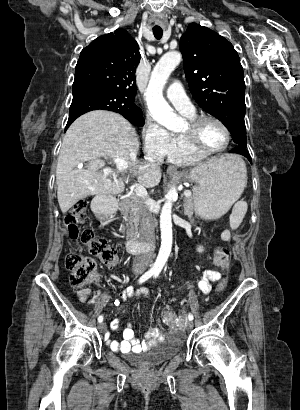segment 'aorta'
Wrapping results in <instances>:
<instances>
[{
	"instance_id": "obj_1",
	"label": "aorta",
	"mask_w": 300,
	"mask_h": 410,
	"mask_svg": "<svg viewBox=\"0 0 300 410\" xmlns=\"http://www.w3.org/2000/svg\"><path fill=\"white\" fill-rule=\"evenodd\" d=\"M181 54L177 51L166 53L155 65L148 87L146 101L149 112L154 120L167 129L177 132L183 126V119L178 117L163 97L164 86L175 67L181 62ZM178 197L176 187L166 194V201L160 214L161 246L152 269L160 272L172 248V205Z\"/></svg>"
}]
</instances>
